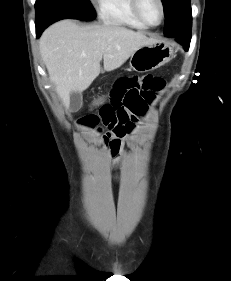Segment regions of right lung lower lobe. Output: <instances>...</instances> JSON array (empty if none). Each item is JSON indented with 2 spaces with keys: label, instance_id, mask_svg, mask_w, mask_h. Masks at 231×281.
<instances>
[{
  "label": "right lung lower lobe",
  "instance_id": "right-lung-lower-lobe-1",
  "mask_svg": "<svg viewBox=\"0 0 231 281\" xmlns=\"http://www.w3.org/2000/svg\"><path fill=\"white\" fill-rule=\"evenodd\" d=\"M65 18H68V15L65 13V11L52 9L40 19H36L37 38L40 37L43 30L47 28L50 24Z\"/></svg>",
  "mask_w": 231,
  "mask_h": 281
}]
</instances>
